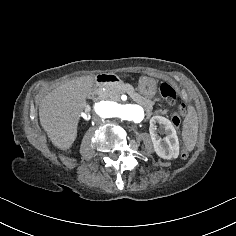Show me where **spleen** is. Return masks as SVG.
Here are the masks:
<instances>
[{
    "mask_svg": "<svg viewBox=\"0 0 236 236\" xmlns=\"http://www.w3.org/2000/svg\"><path fill=\"white\" fill-rule=\"evenodd\" d=\"M198 134V117L194 107H188V114L183 122L182 137L188 151L195 147Z\"/></svg>",
    "mask_w": 236,
    "mask_h": 236,
    "instance_id": "obj_1",
    "label": "spleen"
}]
</instances>
